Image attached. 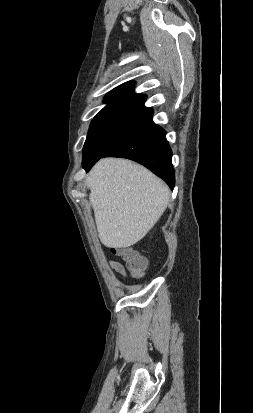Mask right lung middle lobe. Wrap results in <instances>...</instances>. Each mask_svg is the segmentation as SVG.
Returning a JSON list of instances; mask_svg holds the SVG:
<instances>
[{
	"label": "right lung middle lobe",
	"mask_w": 253,
	"mask_h": 413,
	"mask_svg": "<svg viewBox=\"0 0 253 413\" xmlns=\"http://www.w3.org/2000/svg\"><path fill=\"white\" fill-rule=\"evenodd\" d=\"M150 118L131 115L96 116L83 146V165L99 159L141 128Z\"/></svg>",
	"instance_id": "right-lung-middle-lobe-1"
}]
</instances>
